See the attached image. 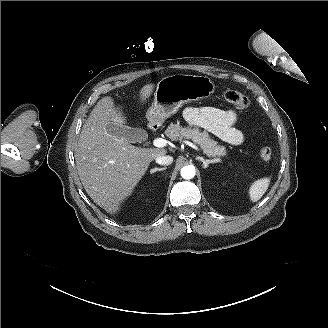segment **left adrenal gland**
Listing matches in <instances>:
<instances>
[{
    "mask_svg": "<svg viewBox=\"0 0 328 328\" xmlns=\"http://www.w3.org/2000/svg\"><path fill=\"white\" fill-rule=\"evenodd\" d=\"M197 160H200L203 162V168H207L210 163H214L213 160H205L203 158L196 157Z\"/></svg>",
    "mask_w": 328,
    "mask_h": 328,
    "instance_id": "left-adrenal-gland-1",
    "label": "left adrenal gland"
}]
</instances>
